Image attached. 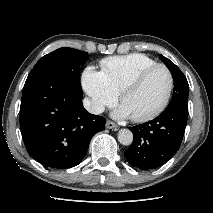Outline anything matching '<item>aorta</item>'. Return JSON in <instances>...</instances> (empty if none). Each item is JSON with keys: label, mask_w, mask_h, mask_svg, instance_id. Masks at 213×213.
Returning <instances> with one entry per match:
<instances>
[{"label": "aorta", "mask_w": 213, "mask_h": 213, "mask_svg": "<svg viewBox=\"0 0 213 213\" xmlns=\"http://www.w3.org/2000/svg\"><path fill=\"white\" fill-rule=\"evenodd\" d=\"M118 141L125 146L132 144L133 133L129 129H121L118 132Z\"/></svg>", "instance_id": "aorta-1"}]
</instances>
